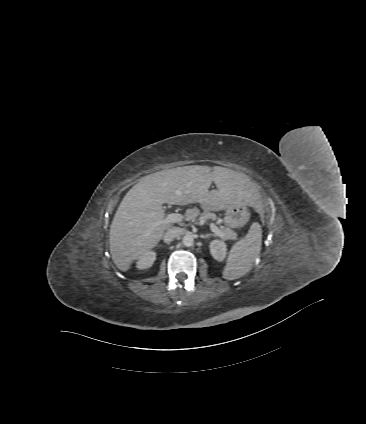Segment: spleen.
I'll return each mask as SVG.
<instances>
[{"label": "spleen", "instance_id": "obj_1", "mask_svg": "<svg viewBox=\"0 0 366 424\" xmlns=\"http://www.w3.org/2000/svg\"><path fill=\"white\" fill-rule=\"evenodd\" d=\"M261 245V225L254 222L246 236L231 247L223 270V277L226 280H235L246 275L260 254Z\"/></svg>", "mask_w": 366, "mask_h": 424}]
</instances>
